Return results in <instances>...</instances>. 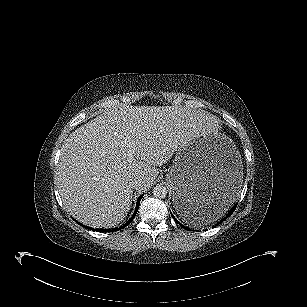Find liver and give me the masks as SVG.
<instances>
[{
	"label": "liver",
	"instance_id": "obj_1",
	"mask_svg": "<svg viewBox=\"0 0 307 307\" xmlns=\"http://www.w3.org/2000/svg\"><path fill=\"white\" fill-rule=\"evenodd\" d=\"M205 111L180 107L121 106L73 131L61 147L57 186L65 209L94 228L119 225L130 211L129 182L148 190L161 166L199 133L215 132Z\"/></svg>",
	"mask_w": 307,
	"mask_h": 307
}]
</instances>
